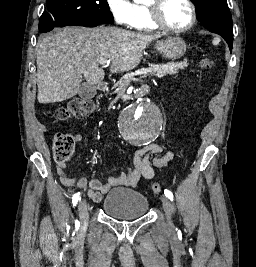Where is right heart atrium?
Returning a JSON list of instances; mask_svg holds the SVG:
<instances>
[{"label":"right heart atrium","instance_id":"d8ad5b80","mask_svg":"<svg viewBox=\"0 0 256 267\" xmlns=\"http://www.w3.org/2000/svg\"><path fill=\"white\" fill-rule=\"evenodd\" d=\"M114 22H121V25L124 27L130 28L131 27V18L128 16H116L114 14ZM108 56H113V54H107Z\"/></svg>","mask_w":256,"mask_h":267}]
</instances>
